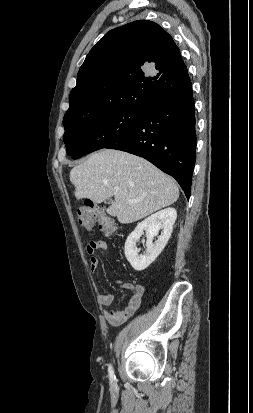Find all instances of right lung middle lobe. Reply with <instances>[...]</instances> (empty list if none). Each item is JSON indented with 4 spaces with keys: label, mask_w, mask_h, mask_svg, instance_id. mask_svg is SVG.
<instances>
[{
    "label": "right lung middle lobe",
    "mask_w": 253,
    "mask_h": 413,
    "mask_svg": "<svg viewBox=\"0 0 253 413\" xmlns=\"http://www.w3.org/2000/svg\"><path fill=\"white\" fill-rule=\"evenodd\" d=\"M142 113L137 109H114L64 124L67 154L77 159L117 142L138 125Z\"/></svg>",
    "instance_id": "dd1d6c3e"
}]
</instances>
